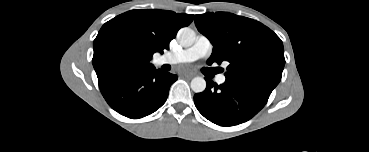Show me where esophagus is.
Here are the masks:
<instances>
[{
	"instance_id": "obj_1",
	"label": "esophagus",
	"mask_w": 369,
	"mask_h": 152,
	"mask_svg": "<svg viewBox=\"0 0 369 152\" xmlns=\"http://www.w3.org/2000/svg\"><path fill=\"white\" fill-rule=\"evenodd\" d=\"M183 76L185 78L191 79V78H193L195 76V73H193V72H187V73H184Z\"/></svg>"
}]
</instances>
